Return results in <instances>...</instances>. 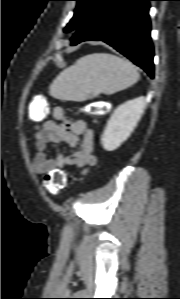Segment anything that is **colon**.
I'll use <instances>...</instances> for the list:
<instances>
[{
    "instance_id": "5ec220e1",
    "label": "colon",
    "mask_w": 180,
    "mask_h": 299,
    "mask_svg": "<svg viewBox=\"0 0 180 299\" xmlns=\"http://www.w3.org/2000/svg\"><path fill=\"white\" fill-rule=\"evenodd\" d=\"M33 116L44 119L45 112L38 113L32 111ZM67 184V176L64 171L56 170L45 175L43 179L44 187L53 195L58 194Z\"/></svg>"
}]
</instances>
